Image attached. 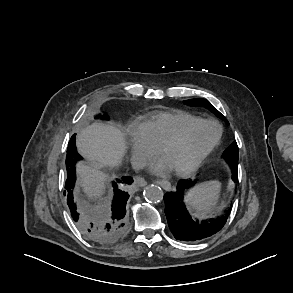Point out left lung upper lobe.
<instances>
[{
    "label": "left lung upper lobe",
    "instance_id": "obj_1",
    "mask_svg": "<svg viewBox=\"0 0 293 293\" xmlns=\"http://www.w3.org/2000/svg\"><path fill=\"white\" fill-rule=\"evenodd\" d=\"M185 104L189 105V106H204L206 108H208L210 111H212L215 115H217L219 118H221L222 120H224L226 123H228V121L226 120V118L206 99L203 98H198V99H190V100H186ZM224 157L226 158V160L234 165V164H238V156H239V151H238V146L236 141H234L224 152Z\"/></svg>",
    "mask_w": 293,
    "mask_h": 293
}]
</instances>
